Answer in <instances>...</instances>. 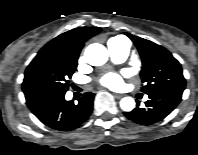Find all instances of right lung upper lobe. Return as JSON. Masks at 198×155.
Here are the masks:
<instances>
[{"label":"right lung upper lobe","instance_id":"right-lung-upper-lobe-1","mask_svg":"<svg viewBox=\"0 0 198 155\" xmlns=\"http://www.w3.org/2000/svg\"><path fill=\"white\" fill-rule=\"evenodd\" d=\"M101 31L99 27H79L65 32L47 43L40 52L62 51L76 52L84 46V42Z\"/></svg>","mask_w":198,"mask_h":155}]
</instances>
